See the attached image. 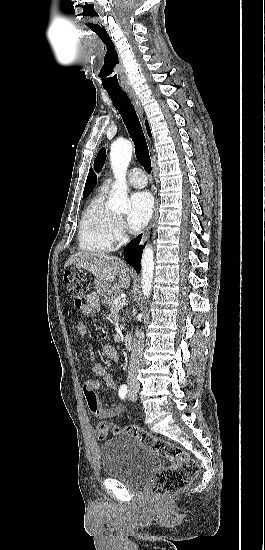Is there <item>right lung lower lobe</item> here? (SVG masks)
Instances as JSON below:
<instances>
[{
    "label": "right lung lower lobe",
    "mask_w": 265,
    "mask_h": 550,
    "mask_svg": "<svg viewBox=\"0 0 265 550\" xmlns=\"http://www.w3.org/2000/svg\"><path fill=\"white\" fill-rule=\"evenodd\" d=\"M142 235H139L127 244L124 250V258L136 271L141 270V256L144 246L139 245Z\"/></svg>",
    "instance_id": "98d812e1"
}]
</instances>
